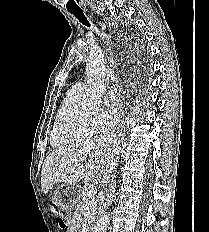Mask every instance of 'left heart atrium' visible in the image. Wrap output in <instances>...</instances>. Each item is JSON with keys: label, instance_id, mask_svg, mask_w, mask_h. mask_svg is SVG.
Wrapping results in <instances>:
<instances>
[{"label": "left heart atrium", "instance_id": "39dd6f15", "mask_svg": "<svg viewBox=\"0 0 209 232\" xmlns=\"http://www.w3.org/2000/svg\"><path fill=\"white\" fill-rule=\"evenodd\" d=\"M118 101H119L118 93L114 89H111L105 97L106 105H108L109 107L115 108Z\"/></svg>", "mask_w": 209, "mask_h": 232}]
</instances>
